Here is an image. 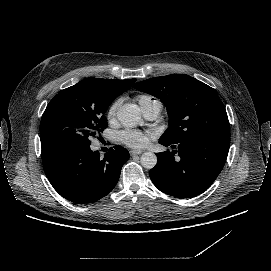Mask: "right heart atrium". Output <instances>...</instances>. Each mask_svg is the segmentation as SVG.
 Instances as JSON below:
<instances>
[{
  "label": "right heart atrium",
  "mask_w": 271,
  "mask_h": 271,
  "mask_svg": "<svg viewBox=\"0 0 271 271\" xmlns=\"http://www.w3.org/2000/svg\"><path fill=\"white\" fill-rule=\"evenodd\" d=\"M122 102H123V98L121 96H119L109 105V107L106 111L107 120L110 121L115 117L116 112H117L119 106L122 104Z\"/></svg>",
  "instance_id": "obj_1"
}]
</instances>
